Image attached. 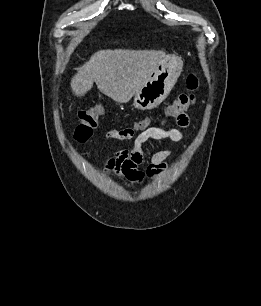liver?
I'll return each instance as SVG.
<instances>
[{"mask_svg": "<svg viewBox=\"0 0 261 306\" xmlns=\"http://www.w3.org/2000/svg\"><path fill=\"white\" fill-rule=\"evenodd\" d=\"M156 50H100L77 68L71 80L76 96H84L95 82L98 89L116 102H128L148 81L156 67L168 58Z\"/></svg>", "mask_w": 261, "mask_h": 306, "instance_id": "1", "label": "liver"}]
</instances>
